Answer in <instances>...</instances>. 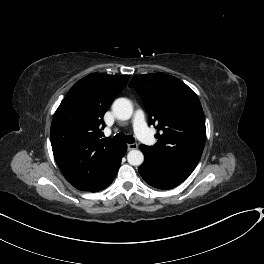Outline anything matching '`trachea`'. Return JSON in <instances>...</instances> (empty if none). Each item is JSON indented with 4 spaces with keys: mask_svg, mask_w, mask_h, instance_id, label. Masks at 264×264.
Segmentation results:
<instances>
[{
    "mask_svg": "<svg viewBox=\"0 0 264 264\" xmlns=\"http://www.w3.org/2000/svg\"><path fill=\"white\" fill-rule=\"evenodd\" d=\"M114 140L134 143L135 138L132 135H124L123 133H118L115 135Z\"/></svg>",
    "mask_w": 264,
    "mask_h": 264,
    "instance_id": "1",
    "label": "trachea"
}]
</instances>
